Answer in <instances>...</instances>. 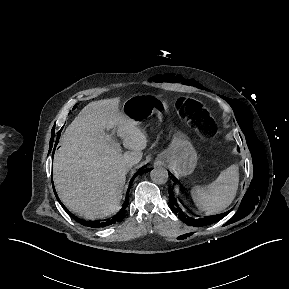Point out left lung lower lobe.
<instances>
[{"label":"left lung lower lobe","instance_id":"obj_1","mask_svg":"<svg viewBox=\"0 0 289 289\" xmlns=\"http://www.w3.org/2000/svg\"><path fill=\"white\" fill-rule=\"evenodd\" d=\"M169 195H170V205L172 207V211L178 215V217L183 220L185 223H187L188 225L191 226H204V225H208L211 224L213 222H216L218 220H220L223 216H225L226 213L221 214V215H216V216H211V217H206V218H200V219H193L191 217L186 216L181 207L179 206V204L177 203V200L174 197L173 194V188H171L169 190Z\"/></svg>","mask_w":289,"mask_h":289}]
</instances>
